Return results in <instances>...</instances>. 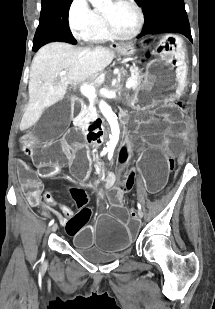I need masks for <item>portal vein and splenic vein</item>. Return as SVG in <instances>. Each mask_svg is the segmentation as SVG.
I'll return each mask as SVG.
<instances>
[{"label": "portal vein and splenic vein", "mask_w": 215, "mask_h": 309, "mask_svg": "<svg viewBox=\"0 0 215 309\" xmlns=\"http://www.w3.org/2000/svg\"><path fill=\"white\" fill-rule=\"evenodd\" d=\"M59 74L60 76H64V74H66V70H62ZM133 84H135V80H133V78H129L128 82H126V86H133ZM80 90L82 94H85V96H92V94L97 96L94 86H80Z\"/></svg>", "instance_id": "obj_1"}]
</instances>
